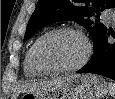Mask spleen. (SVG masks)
<instances>
[{"mask_svg": "<svg viewBox=\"0 0 115 99\" xmlns=\"http://www.w3.org/2000/svg\"><path fill=\"white\" fill-rule=\"evenodd\" d=\"M109 94L115 99V83L108 84Z\"/></svg>", "mask_w": 115, "mask_h": 99, "instance_id": "1", "label": "spleen"}]
</instances>
